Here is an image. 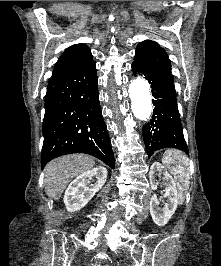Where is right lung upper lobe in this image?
<instances>
[{
  "label": "right lung upper lobe",
  "instance_id": "1",
  "mask_svg": "<svg viewBox=\"0 0 221 266\" xmlns=\"http://www.w3.org/2000/svg\"><path fill=\"white\" fill-rule=\"evenodd\" d=\"M93 60L90 48L85 44L68 47L55 64L51 78L78 69Z\"/></svg>",
  "mask_w": 221,
  "mask_h": 266
}]
</instances>
